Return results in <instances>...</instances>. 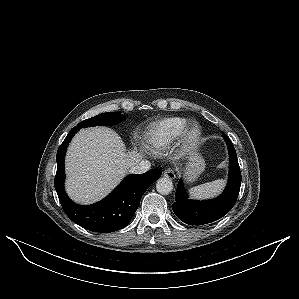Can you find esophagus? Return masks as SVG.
Listing matches in <instances>:
<instances>
[{
	"label": "esophagus",
	"instance_id": "esophagus-1",
	"mask_svg": "<svg viewBox=\"0 0 299 299\" xmlns=\"http://www.w3.org/2000/svg\"><path fill=\"white\" fill-rule=\"evenodd\" d=\"M163 175H164V177H167L170 180H175V178H176L174 171L171 169L164 170Z\"/></svg>",
	"mask_w": 299,
	"mask_h": 299
}]
</instances>
